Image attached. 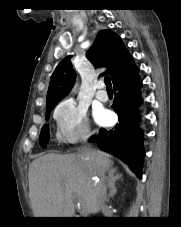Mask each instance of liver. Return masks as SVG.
I'll use <instances>...</instances> for the list:
<instances>
[{
  "label": "liver",
  "instance_id": "liver-1",
  "mask_svg": "<svg viewBox=\"0 0 181 227\" xmlns=\"http://www.w3.org/2000/svg\"><path fill=\"white\" fill-rule=\"evenodd\" d=\"M112 165L108 154L95 149L66 155L45 154L33 160L28 177L35 217H73L76 199L83 202L88 212H98L101 176ZM95 176L99 177L98 182L93 179Z\"/></svg>",
  "mask_w": 181,
  "mask_h": 227
}]
</instances>
